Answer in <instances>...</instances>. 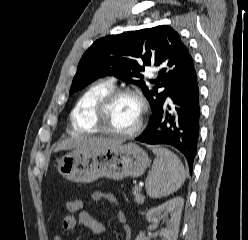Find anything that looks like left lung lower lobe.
Returning a JSON list of instances; mask_svg holds the SVG:
<instances>
[{"mask_svg": "<svg viewBox=\"0 0 248 240\" xmlns=\"http://www.w3.org/2000/svg\"><path fill=\"white\" fill-rule=\"evenodd\" d=\"M168 97L172 104L165 101L136 140L175 147L185 156L191 171L197 153L201 116L196 72L174 87Z\"/></svg>", "mask_w": 248, "mask_h": 240, "instance_id": "obj_1", "label": "left lung lower lobe"}]
</instances>
